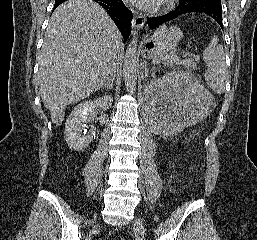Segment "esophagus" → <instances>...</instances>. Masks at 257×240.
I'll return each instance as SVG.
<instances>
[{
  "mask_svg": "<svg viewBox=\"0 0 257 240\" xmlns=\"http://www.w3.org/2000/svg\"><path fill=\"white\" fill-rule=\"evenodd\" d=\"M144 24H145V17H144V15H142V14L136 15L134 17V19H133V27H134V29H133L132 34L136 35L137 32L143 28Z\"/></svg>",
  "mask_w": 257,
  "mask_h": 240,
  "instance_id": "34e87169",
  "label": "esophagus"
}]
</instances>
